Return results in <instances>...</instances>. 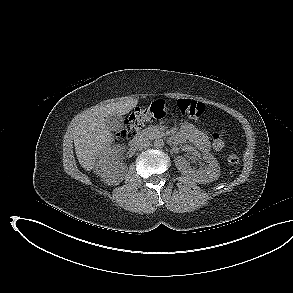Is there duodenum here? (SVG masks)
<instances>
[{"instance_id": "410a0bca", "label": "duodenum", "mask_w": 293, "mask_h": 293, "mask_svg": "<svg viewBox=\"0 0 293 293\" xmlns=\"http://www.w3.org/2000/svg\"><path fill=\"white\" fill-rule=\"evenodd\" d=\"M141 141H142V138L139 134L134 136V138L130 142L131 149L137 148L140 145Z\"/></svg>"}]
</instances>
